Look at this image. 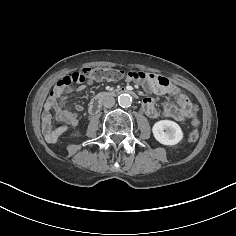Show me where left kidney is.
Listing matches in <instances>:
<instances>
[{"mask_svg":"<svg viewBox=\"0 0 236 236\" xmlns=\"http://www.w3.org/2000/svg\"><path fill=\"white\" fill-rule=\"evenodd\" d=\"M155 139L163 144L173 146L183 139V132L180 126L170 120H160L152 128Z\"/></svg>","mask_w":236,"mask_h":236,"instance_id":"1","label":"left kidney"}]
</instances>
